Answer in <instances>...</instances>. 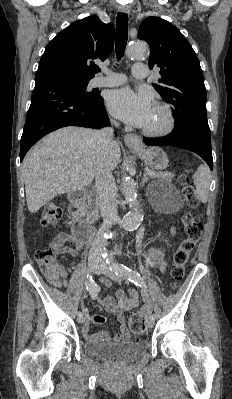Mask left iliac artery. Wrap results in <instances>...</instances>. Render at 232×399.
Returning a JSON list of instances; mask_svg holds the SVG:
<instances>
[{"mask_svg":"<svg viewBox=\"0 0 232 399\" xmlns=\"http://www.w3.org/2000/svg\"><path fill=\"white\" fill-rule=\"evenodd\" d=\"M106 263L109 265L111 271L115 272L117 275H123L129 279L134 285L142 287L145 286L140 274L136 270H132L129 266L123 263H117L113 261V256H110L109 259L106 260ZM152 319L156 318L155 314L151 315Z\"/></svg>","mask_w":232,"mask_h":399,"instance_id":"44dca946","label":"left iliac artery"}]
</instances>
